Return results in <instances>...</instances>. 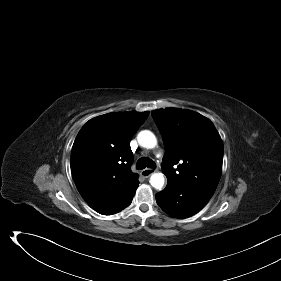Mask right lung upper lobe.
<instances>
[{
	"mask_svg": "<svg viewBox=\"0 0 281 281\" xmlns=\"http://www.w3.org/2000/svg\"><path fill=\"white\" fill-rule=\"evenodd\" d=\"M148 112L108 113L95 117L79 131L71 153V171L83 199L102 215L130 205L138 187L131 169L130 140Z\"/></svg>",
	"mask_w": 281,
	"mask_h": 281,
	"instance_id": "obj_1",
	"label": "right lung upper lobe"
}]
</instances>
